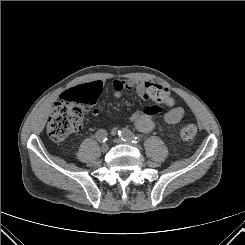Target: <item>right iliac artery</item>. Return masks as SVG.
<instances>
[{
	"label": "right iliac artery",
	"mask_w": 245,
	"mask_h": 245,
	"mask_svg": "<svg viewBox=\"0 0 245 245\" xmlns=\"http://www.w3.org/2000/svg\"><path fill=\"white\" fill-rule=\"evenodd\" d=\"M96 139L99 142H106L107 141V132L103 129H100L96 132Z\"/></svg>",
	"instance_id": "82829eb1"
}]
</instances>
